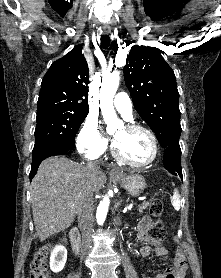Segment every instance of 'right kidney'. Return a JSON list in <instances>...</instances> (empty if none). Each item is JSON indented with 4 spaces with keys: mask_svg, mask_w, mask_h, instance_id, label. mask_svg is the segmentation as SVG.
Listing matches in <instances>:
<instances>
[{
    "mask_svg": "<svg viewBox=\"0 0 221 278\" xmlns=\"http://www.w3.org/2000/svg\"><path fill=\"white\" fill-rule=\"evenodd\" d=\"M67 260V250L62 245H57L51 252L50 256V269L54 273L63 270Z\"/></svg>",
    "mask_w": 221,
    "mask_h": 278,
    "instance_id": "obj_1",
    "label": "right kidney"
}]
</instances>
